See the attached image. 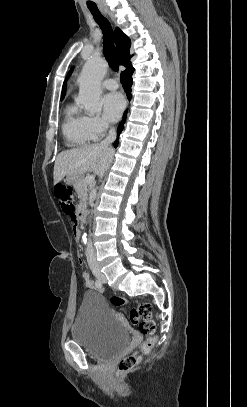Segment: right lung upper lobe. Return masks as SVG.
I'll use <instances>...</instances> for the list:
<instances>
[{
    "mask_svg": "<svg viewBox=\"0 0 247 407\" xmlns=\"http://www.w3.org/2000/svg\"><path fill=\"white\" fill-rule=\"evenodd\" d=\"M115 44L118 50L117 54L119 63L124 65L126 68L131 66L130 58L132 56L129 54L131 41L119 28H116L115 30ZM65 92L66 84L64 83L61 99L64 98Z\"/></svg>",
    "mask_w": 247,
    "mask_h": 407,
    "instance_id": "1",
    "label": "right lung upper lobe"
}]
</instances>
